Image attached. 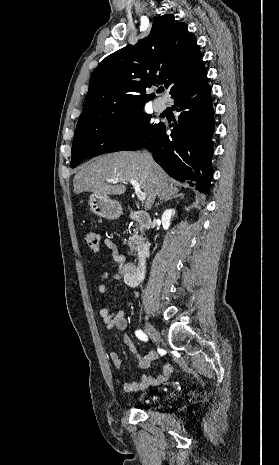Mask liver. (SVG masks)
<instances>
[{"mask_svg":"<svg viewBox=\"0 0 279 465\" xmlns=\"http://www.w3.org/2000/svg\"><path fill=\"white\" fill-rule=\"evenodd\" d=\"M120 184L110 185L111 179ZM137 181L147 195L145 210H150L156 197L160 201L178 194L175 182L155 162L149 164L143 153L115 152L95 158L80 168L73 179L74 193L93 192L99 195H120L126 191V181Z\"/></svg>","mask_w":279,"mask_h":465,"instance_id":"liver-1","label":"liver"}]
</instances>
